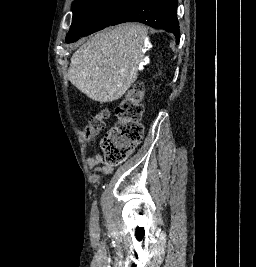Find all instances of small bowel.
<instances>
[{"instance_id":"1","label":"small bowel","mask_w":256,"mask_h":267,"mask_svg":"<svg viewBox=\"0 0 256 267\" xmlns=\"http://www.w3.org/2000/svg\"><path fill=\"white\" fill-rule=\"evenodd\" d=\"M89 171L96 181L100 176H108L113 172V166L108 164L104 156L97 152L94 157L89 161Z\"/></svg>"}]
</instances>
